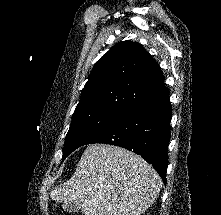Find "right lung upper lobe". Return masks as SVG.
<instances>
[{
	"label": "right lung upper lobe",
	"mask_w": 221,
	"mask_h": 215,
	"mask_svg": "<svg viewBox=\"0 0 221 215\" xmlns=\"http://www.w3.org/2000/svg\"><path fill=\"white\" fill-rule=\"evenodd\" d=\"M165 87L159 65L138 43L119 42L93 67L74 113L103 111L122 116Z\"/></svg>",
	"instance_id": "obj_1"
}]
</instances>
